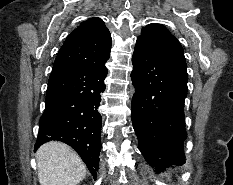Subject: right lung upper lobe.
Wrapping results in <instances>:
<instances>
[{
    "instance_id": "obj_1",
    "label": "right lung upper lobe",
    "mask_w": 233,
    "mask_h": 185,
    "mask_svg": "<svg viewBox=\"0 0 233 185\" xmlns=\"http://www.w3.org/2000/svg\"><path fill=\"white\" fill-rule=\"evenodd\" d=\"M111 44L110 32L104 21L88 19L66 38L53 71L104 65L110 57Z\"/></svg>"
}]
</instances>
